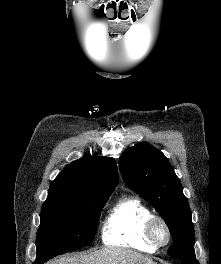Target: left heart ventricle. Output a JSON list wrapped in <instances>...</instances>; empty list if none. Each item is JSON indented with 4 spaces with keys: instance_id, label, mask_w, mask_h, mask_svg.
<instances>
[{
    "instance_id": "1",
    "label": "left heart ventricle",
    "mask_w": 221,
    "mask_h": 264,
    "mask_svg": "<svg viewBox=\"0 0 221 264\" xmlns=\"http://www.w3.org/2000/svg\"><path fill=\"white\" fill-rule=\"evenodd\" d=\"M158 236H159L161 239H164V238H165L164 231H163L161 228L158 229Z\"/></svg>"
}]
</instances>
